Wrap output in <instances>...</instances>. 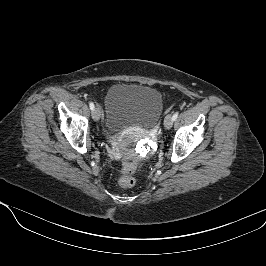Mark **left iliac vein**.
Here are the masks:
<instances>
[{"label":"left iliac vein","mask_w":266,"mask_h":266,"mask_svg":"<svg viewBox=\"0 0 266 266\" xmlns=\"http://www.w3.org/2000/svg\"><path fill=\"white\" fill-rule=\"evenodd\" d=\"M173 125V120L171 115H167L164 120V126L166 129H170Z\"/></svg>","instance_id":"1"}]
</instances>
